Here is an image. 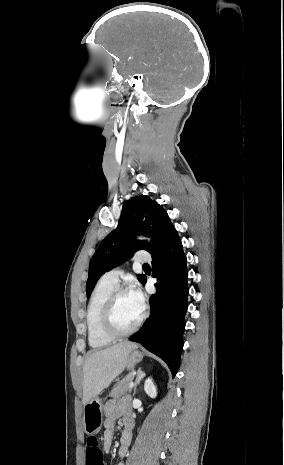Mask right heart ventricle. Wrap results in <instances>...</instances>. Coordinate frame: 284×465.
<instances>
[{
	"label": "right heart ventricle",
	"mask_w": 284,
	"mask_h": 465,
	"mask_svg": "<svg viewBox=\"0 0 284 465\" xmlns=\"http://www.w3.org/2000/svg\"><path fill=\"white\" fill-rule=\"evenodd\" d=\"M115 288V285L99 280L90 295L85 316L89 346H110L113 343L103 334L101 320L106 302Z\"/></svg>",
	"instance_id": "e07e8e85"
}]
</instances>
